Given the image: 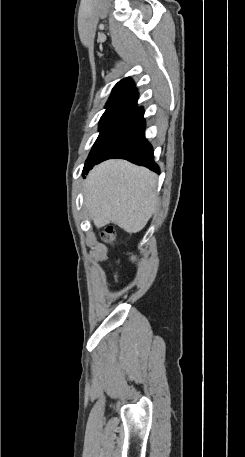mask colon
Segmentation results:
<instances>
[{
    "label": "colon",
    "instance_id": "5ec220e1",
    "mask_svg": "<svg viewBox=\"0 0 245 457\" xmlns=\"http://www.w3.org/2000/svg\"><path fill=\"white\" fill-rule=\"evenodd\" d=\"M116 238V232L113 227H107L101 234V239L105 243H113Z\"/></svg>",
    "mask_w": 245,
    "mask_h": 457
}]
</instances>
